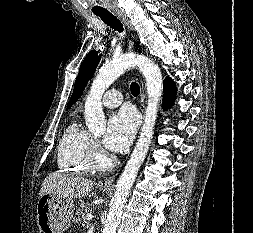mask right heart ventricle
Segmentation results:
<instances>
[{"label": "right heart ventricle", "instance_id": "right-heart-ventricle-1", "mask_svg": "<svg viewBox=\"0 0 253 233\" xmlns=\"http://www.w3.org/2000/svg\"><path fill=\"white\" fill-rule=\"evenodd\" d=\"M93 146L92 134L78 122L71 123L58 143L56 160L59 170L77 175L91 171L89 154Z\"/></svg>", "mask_w": 253, "mask_h": 233}]
</instances>
